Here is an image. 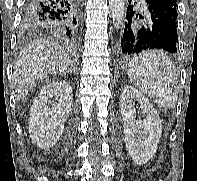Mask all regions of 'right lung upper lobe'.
I'll return each instance as SVG.
<instances>
[{
    "label": "right lung upper lobe",
    "instance_id": "cb5924a9",
    "mask_svg": "<svg viewBox=\"0 0 197 181\" xmlns=\"http://www.w3.org/2000/svg\"><path fill=\"white\" fill-rule=\"evenodd\" d=\"M29 29H35V30H47L46 27H42V26H34V27H29Z\"/></svg>",
    "mask_w": 197,
    "mask_h": 181
}]
</instances>
